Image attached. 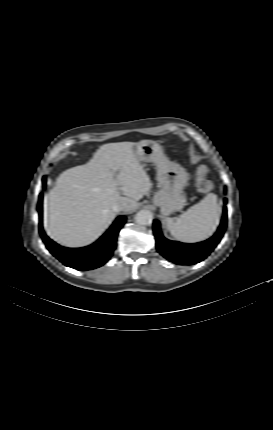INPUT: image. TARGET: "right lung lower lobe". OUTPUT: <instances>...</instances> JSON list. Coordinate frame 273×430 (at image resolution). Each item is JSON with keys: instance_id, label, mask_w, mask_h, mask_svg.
<instances>
[{"instance_id": "1", "label": "right lung lower lobe", "mask_w": 273, "mask_h": 430, "mask_svg": "<svg viewBox=\"0 0 273 430\" xmlns=\"http://www.w3.org/2000/svg\"><path fill=\"white\" fill-rule=\"evenodd\" d=\"M43 184H46V178L42 179ZM42 200L43 194H39L38 207L39 212V233L47 249L64 265L81 270H91L105 264L113 254L116 248V239L120 228L125 223V217L121 216L116 219L110 229L94 244L83 248H65L51 239H49L42 226Z\"/></svg>"}]
</instances>
